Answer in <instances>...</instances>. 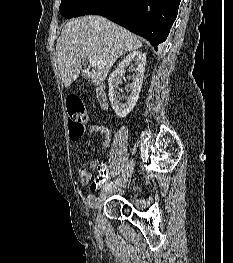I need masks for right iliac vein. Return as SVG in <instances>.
<instances>
[{"instance_id":"63e3f726","label":"right iliac vein","mask_w":233,"mask_h":263,"mask_svg":"<svg viewBox=\"0 0 233 263\" xmlns=\"http://www.w3.org/2000/svg\"><path fill=\"white\" fill-rule=\"evenodd\" d=\"M133 166H134L133 160L128 161L126 166H125L124 172H123L121 178L118 180L117 184L113 188H111L110 190L105 191L104 193H102L100 195L98 202L96 204V209L98 212L97 218H96L97 223L101 222L100 210L102 208V205H103L105 199L108 197V195H110L112 192L116 191L117 189H119L120 187H122L126 183L130 174L132 173Z\"/></svg>"}]
</instances>
